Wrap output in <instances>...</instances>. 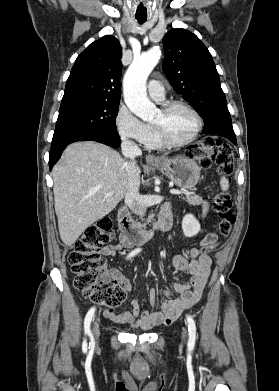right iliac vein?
I'll list each match as a JSON object with an SVG mask.
<instances>
[{"instance_id":"obj_1","label":"right iliac vein","mask_w":279,"mask_h":391,"mask_svg":"<svg viewBox=\"0 0 279 391\" xmlns=\"http://www.w3.org/2000/svg\"><path fill=\"white\" fill-rule=\"evenodd\" d=\"M93 335H94V340L97 342L100 336L99 325L97 322H95L93 326Z\"/></svg>"}]
</instances>
